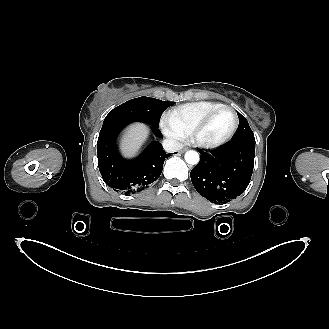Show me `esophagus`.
Listing matches in <instances>:
<instances>
[{
    "instance_id": "1",
    "label": "esophagus",
    "mask_w": 329,
    "mask_h": 329,
    "mask_svg": "<svg viewBox=\"0 0 329 329\" xmlns=\"http://www.w3.org/2000/svg\"><path fill=\"white\" fill-rule=\"evenodd\" d=\"M187 148H183L182 150H180L181 153H184L185 151H187Z\"/></svg>"
}]
</instances>
